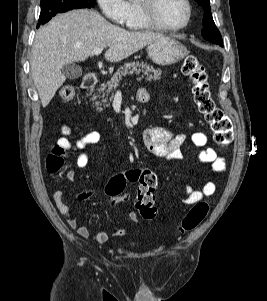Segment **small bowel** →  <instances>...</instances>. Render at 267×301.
<instances>
[{
	"instance_id": "1",
	"label": "small bowel",
	"mask_w": 267,
	"mask_h": 301,
	"mask_svg": "<svg viewBox=\"0 0 267 301\" xmlns=\"http://www.w3.org/2000/svg\"><path fill=\"white\" fill-rule=\"evenodd\" d=\"M139 92H146L144 88H140ZM61 137L58 139V146L66 150H72L78 153L76 158V165L80 168L85 167L89 161V154L85 151L89 145L96 144L101 140V135L98 132H89L75 141L68 139L73 134L74 128L69 124H63L60 129ZM186 140L184 134H175L169 129L162 127H150L143 132V144L147 151L151 154L173 160H182L184 158L181 151V146ZM191 143L200 148L198 153V160L202 164H210L213 170L217 173H222L225 169L224 158L218 156L215 149L208 145V136L204 132H196L191 138ZM66 178L69 181L75 180L74 170L66 172ZM216 191V185L211 180H205L200 189H194L192 186H186L185 196L183 202L185 204H194L202 200L204 197L211 196ZM93 190H88L78 195L79 200H86L94 195ZM63 193L57 190L53 193V200L58 211L65 217L67 224L83 238L94 240L97 243H105L109 240L110 234L106 231H100L92 234L90 229L86 226H81L77 220L72 216L71 211L67 204L62 199ZM130 198L129 193L125 192L116 200L110 202L113 208L116 204L128 201ZM129 219L137 221L138 216L135 212H129ZM126 234L125 229H117L112 233V236H123Z\"/></svg>"
}]
</instances>
